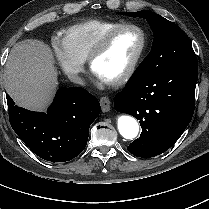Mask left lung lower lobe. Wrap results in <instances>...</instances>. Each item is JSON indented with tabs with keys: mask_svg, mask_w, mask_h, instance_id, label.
Listing matches in <instances>:
<instances>
[{
	"mask_svg": "<svg viewBox=\"0 0 209 209\" xmlns=\"http://www.w3.org/2000/svg\"><path fill=\"white\" fill-rule=\"evenodd\" d=\"M197 79V60L157 75L134 72L114 98L118 112L140 120L141 135L127 147L131 154L154 157L175 144L192 119Z\"/></svg>",
	"mask_w": 209,
	"mask_h": 209,
	"instance_id": "obj_1",
	"label": "left lung lower lobe"
}]
</instances>
